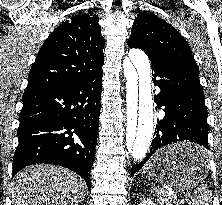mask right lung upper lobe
I'll use <instances>...</instances> for the list:
<instances>
[{
    "label": "right lung upper lobe",
    "instance_id": "cb5924a9",
    "mask_svg": "<svg viewBox=\"0 0 222 205\" xmlns=\"http://www.w3.org/2000/svg\"><path fill=\"white\" fill-rule=\"evenodd\" d=\"M98 21L97 15L79 14L59 25L38 52L26 90L72 84L102 71L104 38Z\"/></svg>",
    "mask_w": 222,
    "mask_h": 205
}]
</instances>
